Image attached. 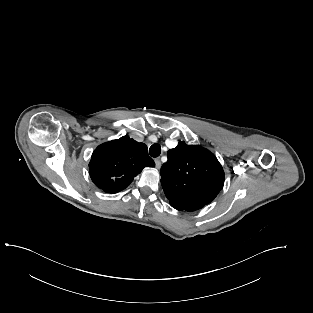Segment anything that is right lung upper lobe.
I'll return each mask as SVG.
<instances>
[{"label": "right lung upper lobe", "mask_w": 313, "mask_h": 313, "mask_svg": "<svg viewBox=\"0 0 313 313\" xmlns=\"http://www.w3.org/2000/svg\"><path fill=\"white\" fill-rule=\"evenodd\" d=\"M155 163L147 153V146L128 136L99 145L89 163L94 184L107 193L125 189L144 167Z\"/></svg>", "instance_id": "obj_1"}]
</instances>
